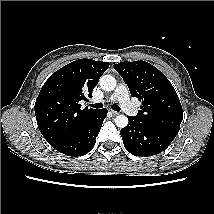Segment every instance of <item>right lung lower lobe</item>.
Segmentation results:
<instances>
[{"instance_id":"right-lung-lower-lobe-1","label":"right lung lower lobe","mask_w":214,"mask_h":214,"mask_svg":"<svg viewBox=\"0 0 214 214\" xmlns=\"http://www.w3.org/2000/svg\"><path fill=\"white\" fill-rule=\"evenodd\" d=\"M107 112V109L97 110L52 147L68 156L77 157L87 154L95 145L96 136Z\"/></svg>"}]
</instances>
